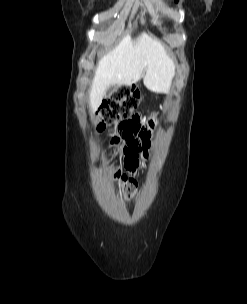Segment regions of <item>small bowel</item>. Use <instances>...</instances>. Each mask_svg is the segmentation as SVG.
<instances>
[{"instance_id": "c3829d8e", "label": "small bowel", "mask_w": 247, "mask_h": 304, "mask_svg": "<svg viewBox=\"0 0 247 304\" xmlns=\"http://www.w3.org/2000/svg\"><path fill=\"white\" fill-rule=\"evenodd\" d=\"M127 119H154V112H127ZM155 120H125L118 122V130H111L108 144L114 146L108 150L109 156H119V162L133 177L140 159H147L152 151L154 136L151 132L157 130ZM123 151V152H122ZM116 159L115 157L113 158Z\"/></svg>"}]
</instances>
